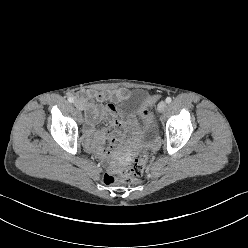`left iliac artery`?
Masks as SVG:
<instances>
[{"mask_svg": "<svg viewBox=\"0 0 248 248\" xmlns=\"http://www.w3.org/2000/svg\"><path fill=\"white\" fill-rule=\"evenodd\" d=\"M171 101H172L171 97H167V98H166V103L169 104V103H171Z\"/></svg>", "mask_w": 248, "mask_h": 248, "instance_id": "obj_1", "label": "left iliac artery"}]
</instances>
